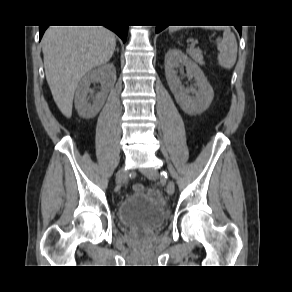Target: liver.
<instances>
[{
	"instance_id": "liver-1",
	"label": "liver",
	"mask_w": 292,
	"mask_h": 292,
	"mask_svg": "<svg viewBox=\"0 0 292 292\" xmlns=\"http://www.w3.org/2000/svg\"><path fill=\"white\" fill-rule=\"evenodd\" d=\"M116 46L103 26H50L42 39L44 68L53 99L70 118L75 90L92 68L106 63Z\"/></svg>"
}]
</instances>
